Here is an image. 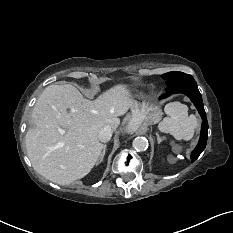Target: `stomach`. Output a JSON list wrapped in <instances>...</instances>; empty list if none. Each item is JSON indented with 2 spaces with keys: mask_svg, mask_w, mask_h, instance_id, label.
Wrapping results in <instances>:
<instances>
[{
  "mask_svg": "<svg viewBox=\"0 0 233 233\" xmlns=\"http://www.w3.org/2000/svg\"><path fill=\"white\" fill-rule=\"evenodd\" d=\"M131 118L130 125L137 128L146 123H156L162 116L161 105L154 100L137 101L131 97Z\"/></svg>",
  "mask_w": 233,
  "mask_h": 233,
  "instance_id": "0dacf381",
  "label": "stomach"
}]
</instances>
